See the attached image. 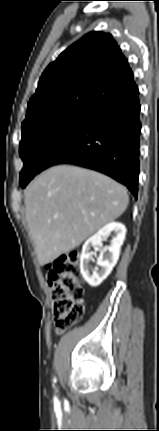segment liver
<instances>
[{
  "instance_id": "1",
  "label": "liver",
  "mask_w": 159,
  "mask_h": 431,
  "mask_svg": "<svg viewBox=\"0 0 159 431\" xmlns=\"http://www.w3.org/2000/svg\"><path fill=\"white\" fill-rule=\"evenodd\" d=\"M129 202L124 186L80 167L58 165L28 186L25 214L41 265L78 247L120 217Z\"/></svg>"
}]
</instances>
